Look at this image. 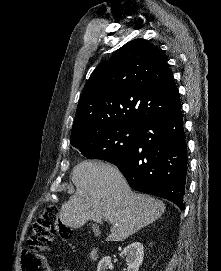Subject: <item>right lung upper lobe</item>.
<instances>
[{
    "label": "right lung upper lobe",
    "mask_w": 221,
    "mask_h": 271,
    "mask_svg": "<svg viewBox=\"0 0 221 271\" xmlns=\"http://www.w3.org/2000/svg\"><path fill=\"white\" fill-rule=\"evenodd\" d=\"M181 105L167 59L144 39L118 49L88 79L79 100L71 140L113 126L140 127Z\"/></svg>",
    "instance_id": "cb5924a9"
}]
</instances>
